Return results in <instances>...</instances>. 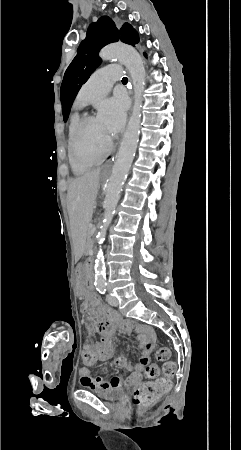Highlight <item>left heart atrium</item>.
<instances>
[{
    "mask_svg": "<svg viewBox=\"0 0 241 450\" xmlns=\"http://www.w3.org/2000/svg\"><path fill=\"white\" fill-rule=\"evenodd\" d=\"M108 111L111 113L110 129L114 134H118L125 125L128 101L124 97H118L108 101Z\"/></svg>",
    "mask_w": 241,
    "mask_h": 450,
    "instance_id": "left-heart-atrium-1",
    "label": "left heart atrium"
}]
</instances>
